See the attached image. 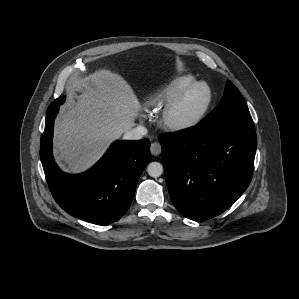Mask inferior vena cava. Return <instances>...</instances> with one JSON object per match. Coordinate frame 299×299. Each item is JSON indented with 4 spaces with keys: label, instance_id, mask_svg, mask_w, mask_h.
<instances>
[{
    "label": "inferior vena cava",
    "instance_id": "inferior-vena-cava-1",
    "mask_svg": "<svg viewBox=\"0 0 299 299\" xmlns=\"http://www.w3.org/2000/svg\"><path fill=\"white\" fill-rule=\"evenodd\" d=\"M147 129L143 126H137L135 128L130 129L124 134V139L126 140H139L142 139L144 135H146Z\"/></svg>",
    "mask_w": 299,
    "mask_h": 299
}]
</instances>
